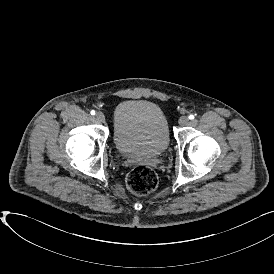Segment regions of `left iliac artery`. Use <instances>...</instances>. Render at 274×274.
<instances>
[{
  "instance_id": "1",
  "label": "left iliac artery",
  "mask_w": 274,
  "mask_h": 274,
  "mask_svg": "<svg viewBox=\"0 0 274 274\" xmlns=\"http://www.w3.org/2000/svg\"><path fill=\"white\" fill-rule=\"evenodd\" d=\"M189 119L193 120L194 119V115L193 114L189 115Z\"/></svg>"
}]
</instances>
